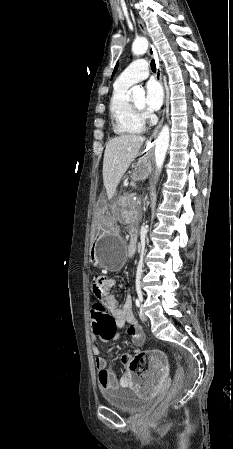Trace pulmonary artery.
<instances>
[{
  "label": "pulmonary artery",
  "mask_w": 233,
  "mask_h": 449,
  "mask_svg": "<svg viewBox=\"0 0 233 449\" xmlns=\"http://www.w3.org/2000/svg\"><path fill=\"white\" fill-rule=\"evenodd\" d=\"M149 75V66L144 59L133 61L117 78L120 85L131 86L146 79Z\"/></svg>",
  "instance_id": "pulmonary-artery-1"
}]
</instances>
